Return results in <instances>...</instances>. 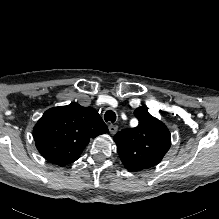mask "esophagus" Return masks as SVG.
<instances>
[{"label": "esophagus", "instance_id": "34e87169", "mask_svg": "<svg viewBox=\"0 0 219 219\" xmlns=\"http://www.w3.org/2000/svg\"><path fill=\"white\" fill-rule=\"evenodd\" d=\"M108 128H109V132L112 135H114L117 132V130H118V127L116 125H114V124H109Z\"/></svg>", "mask_w": 219, "mask_h": 219}]
</instances>
